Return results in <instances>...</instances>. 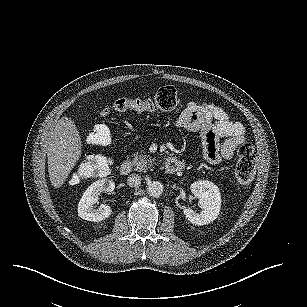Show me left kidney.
Listing matches in <instances>:
<instances>
[{
	"mask_svg": "<svg viewBox=\"0 0 307 307\" xmlns=\"http://www.w3.org/2000/svg\"><path fill=\"white\" fill-rule=\"evenodd\" d=\"M192 194L199 199L200 213L191 208H184L183 213L194 225H206L214 221L220 212L221 194L218 186L208 180H200L190 185Z\"/></svg>",
	"mask_w": 307,
	"mask_h": 307,
	"instance_id": "5707ae66",
	"label": "left kidney"
}]
</instances>
